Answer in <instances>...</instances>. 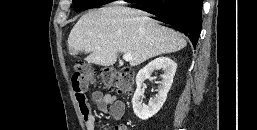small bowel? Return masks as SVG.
Here are the masks:
<instances>
[{
  "instance_id": "1",
  "label": "small bowel",
  "mask_w": 257,
  "mask_h": 130,
  "mask_svg": "<svg viewBox=\"0 0 257 130\" xmlns=\"http://www.w3.org/2000/svg\"><path fill=\"white\" fill-rule=\"evenodd\" d=\"M79 110L84 119L87 130H96V118L91 112V107L87 98L80 100L76 97ZM91 99L95 103L97 109L104 114H109L115 121L120 120L126 110L125 103L112 94H104L100 91H93ZM104 130H111L110 127ZM113 130H130L126 125H118Z\"/></svg>"
}]
</instances>
